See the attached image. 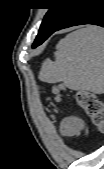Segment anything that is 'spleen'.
<instances>
[{
	"instance_id": "obj_1",
	"label": "spleen",
	"mask_w": 104,
	"mask_h": 169,
	"mask_svg": "<svg viewBox=\"0 0 104 169\" xmlns=\"http://www.w3.org/2000/svg\"><path fill=\"white\" fill-rule=\"evenodd\" d=\"M55 61L46 59L39 79L63 82L71 90L104 92V31L88 26L68 34L56 46Z\"/></svg>"
}]
</instances>
